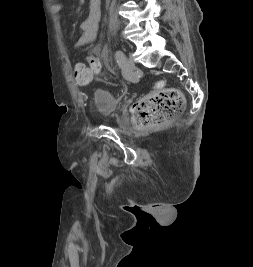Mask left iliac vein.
<instances>
[{
	"instance_id": "left-iliac-vein-1",
	"label": "left iliac vein",
	"mask_w": 253,
	"mask_h": 267,
	"mask_svg": "<svg viewBox=\"0 0 253 267\" xmlns=\"http://www.w3.org/2000/svg\"><path fill=\"white\" fill-rule=\"evenodd\" d=\"M116 53H117L119 56H122V55L125 56V54H124L121 50H117ZM125 58H126V56H125ZM134 68H135V64H134L133 59H131V58H130V59H127V58H126V70H125V71H126L127 73L134 74V72H135ZM124 76H125V74H124Z\"/></svg>"
}]
</instances>
